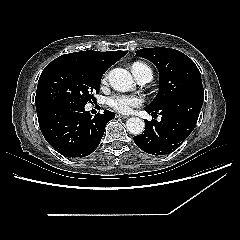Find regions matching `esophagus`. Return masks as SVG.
<instances>
[{"label":"esophagus","instance_id":"obj_1","mask_svg":"<svg viewBox=\"0 0 240 240\" xmlns=\"http://www.w3.org/2000/svg\"><path fill=\"white\" fill-rule=\"evenodd\" d=\"M116 117H119V118H122V119L128 118L127 115H122V114H116Z\"/></svg>","mask_w":240,"mask_h":240}]
</instances>
